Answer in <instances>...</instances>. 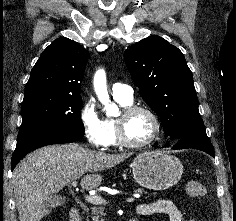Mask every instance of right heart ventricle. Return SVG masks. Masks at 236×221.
Wrapping results in <instances>:
<instances>
[{"instance_id": "1", "label": "right heart ventricle", "mask_w": 236, "mask_h": 221, "mask_svg": "<svg viewBox=\"0 0 236 221\" xmlns=\"http://www.w3.org/2000/svg\"><path fill=\"white\" fill-rule=\"evenodd\" d=\"M116 101L122 106H128L131 105L132 101H124L120 99H116ZM104 125L108 134V145H118V139H117V133H116V125H115V119L112 118H106L104 120Z\"/></svg>"}]
</instances>
